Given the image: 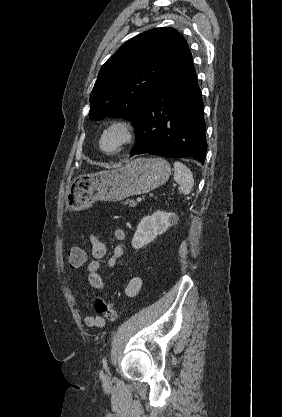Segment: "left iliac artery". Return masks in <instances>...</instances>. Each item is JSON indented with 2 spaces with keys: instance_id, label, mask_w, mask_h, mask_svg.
Returning <instances> with one entry per match:
<instances>
[{
  "instance_id": "obj_1",
  "label": "left iliac artery",
  "mask_w": 282,
  "mask_h": 417,
  "mask_svg": "<svg viewBox=\"0 0 282 417\" xmlns=\"http://www.w3.org/2000/svg\"><path fill=\"white\" fill-rule=\"evenodd\" d=\"M102 363H103L104 366H106V364H107L106 357L102 360Z\"/></svg>"
}]
</instances>
